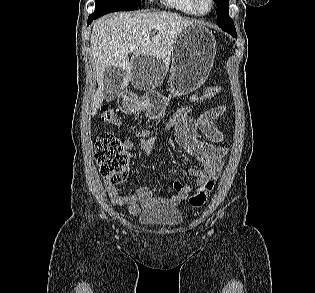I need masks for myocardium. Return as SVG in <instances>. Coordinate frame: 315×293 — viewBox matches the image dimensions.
<instances>
[{
	"label": "myocardium",
	"mask_w": 315,
	"mask_h": 293,
	"mask_svg": "<svg viewBox=\"0 0 315 293\" xmlns=\"http://www.w3.org/2000/svg\"><path fill=\"white\" fill-rule=\"evenodd\" d=\"M192 1H193L194 8L199 15L209 14L213 10L214 5H215L214 0H209L210 7L208 10L204 11V10H202V8L200 6V0H192Z\"/></svg>",
	"instance_id": "f54148a6"
}]
</instances>
